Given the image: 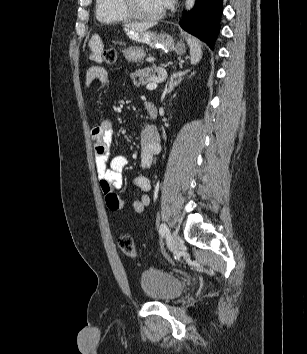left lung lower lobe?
Wrapping results in <instances>:
<instances>
[{"label":"left lung lower lobe","mask_w":307,"mask_h":354,"mask_svg":"<svg viewBox=\"0 0 307 354\" xmlns=\"http://www.w3.org/2000/svg\"><path fill=\"white\" fill-rule=\"evenodd\" d=\"M222 3L223 0H196L195 7L184 14L180 25L213 49L220 30Z\"/></svg>","instance_id":"obj_1"}]
</instances>
